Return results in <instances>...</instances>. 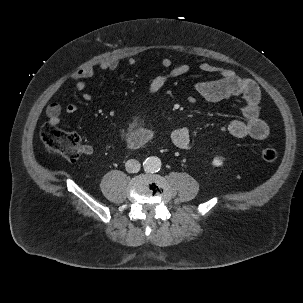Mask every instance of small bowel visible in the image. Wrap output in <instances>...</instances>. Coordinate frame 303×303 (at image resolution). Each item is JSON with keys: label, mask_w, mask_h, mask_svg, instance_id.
I'll return each mask as SVG.
<instances>
[{"label": "small bowel", "mask_w": 303, "mask_h": 303, "mask_svg": "<svg viewBox=\"0 0 303 303\" xmlns=\"http://www.w3.org/2000/svg\"><path fill=\"white\" fill-rule=\"evenodd\" d=\"M128 65L134 66L136 60L130 57L127 60ZM161 65L164 72L155 76L149 83L148 94L154 96L172 79L181 77L190 71L188 64L174 65L171 58L164 57L161 60ZM119 67V60L111 59L103 61L100 64V69L104 71H114ZM200 69L208 73H218L220 77L212 81L198 82L194 85V90L201 98L217 102L231 97H240L243 99V120H231L223 130L236 138L251 137L253 139L262 140L269 135L268 124L261 119L260 107V90L257 84L251 79L237 75L233 70L220 68L210 63H202ZM95 74L93 66L83 67L76 70L71 81L75 90L82 92L81 97L84 101H90L92 95L84 92L86 89V80L92 78ZM66 87L62 86L59 89V94L65 91ZM63 110L68 114H73L78 111L77 105L68 103L64 108L58 102L49 104L46 108V115L51 124L58 125L61 121ZM135 133H142L150 139L154 132L147 127L132 128ZM133 134V133H132ZM171 140L174 145L180 149L188 150L192 147V133L186 127H180L172 131ZM83 152L88 154L91 152L89 146H83Z\"/></svg>", "instance_id": "c3829d8e"}]
</instances>
